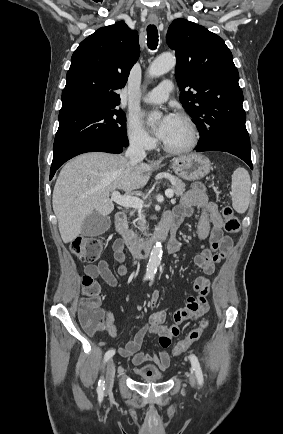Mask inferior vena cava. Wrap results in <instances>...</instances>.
<instances>
[{
    "mask_svg": "<svg viewBox=\"0 0 283 434\" xmlns=\"http://www.w3.org/2000/svg\"><path fill=\"white\" fill-rule=\"evenodd\" d=\"M125 156L132 162V163H139L141 162L145 157V149L143 147V144L140 141H132L125 153Z\"/></svg>",
    "mask_w": 283,
    "mask_h": 434,
    "instance_id": "inferior-vena-cava-1",
    "label": "inferior vena cava"
}]
</instances>
